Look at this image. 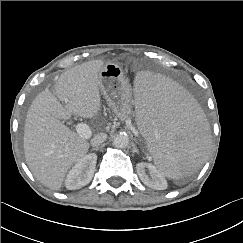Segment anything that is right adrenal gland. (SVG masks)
Instances as JSON below:
<instances>
[{
    "label": "right adrenal gland",
    "instance_id": "right-adrenal-gland-1",
    "mask_svg": "<svg viewBox=\"0 0 243 243\" xmlns=\"http://www.w3.org/2000/svg\"><path fill=\"white\" fill-rule=\"evenodd\" d=\"M98 150H99L98 147H94V148L91 149V151H98Z\"/></svg>",
    "mask_w": 243,
    "mask_h": 243
}]
</instances>
